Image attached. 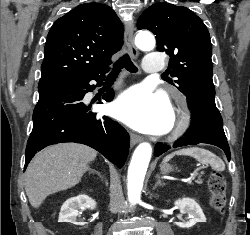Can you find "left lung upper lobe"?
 Returning <instances> with one entry per match:
<instances>
[{
    "label": "left lung upper lobe",
    "mask_w": 250,
    "mask_h": 235,
    "mask_svg": "<svg viewBox=\"0 0 250 235\" xmlns=\"http://www.w3.org/2000/svg\"><path fill=\"white\" fill-rule=\"evenodd\" d=\"M138 29L156 35L157 50L170 56L167 81L186 96L193 91L214 88L212 45L203 21L191 10L170 3H156L137 21Z\"/></svg>",
    "instance_id": "5c2ea615"
}]
</instances>
